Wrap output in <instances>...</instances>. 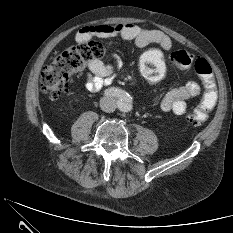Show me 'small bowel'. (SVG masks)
<instances>
[{
    "label": "small bowel",
    "mask_w": 233,
    "mask_h": 233,
    "mask_svg": "<svg viewBox=\"0 0 233 233\" xmlns=\"http://www.w3.org/2000/svg\"><path fill=\"white\" fill-rule=\"evenodd\" d=\"M92 37L106 40L121 37L124 40L133 41L140 48L157 45L162 50L169 51L172 47L171 39L163 32L145 30L133 23L84 27L78 31L76 40L84 42ZM117 64L118 60L116 57L107 62H103L97 58L90 60L87 63L86 88L92 92L103 89H106V91L109 90ZM200 92L201 86L199 82L189 80L183 86L168 91L162 98L160 107L164 112L182 115L187 110L188 100L196 97Z\"/></svg>",
    "instance_id": "obj_1"
}]
</instances>
